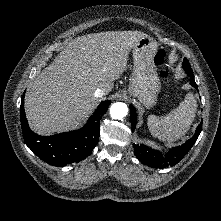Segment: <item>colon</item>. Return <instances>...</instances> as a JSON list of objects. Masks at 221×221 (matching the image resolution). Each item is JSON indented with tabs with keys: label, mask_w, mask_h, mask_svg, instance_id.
<instances>
[{
	"label": "colon",
	"mask_w": 221,
	"mask_h": 221,
	"mask_svg": "<svg viewBox=\"0 0 221 221\" xmlns=\"http://www.w3.org/2000/svg\"><path fill=\"white\" fill-rule=\"evenodd\" d=\"M166 59V52L163 50H159L155 56V63L157 66H162L165 62ZM161 77L163 78H167L169 76L168 72L166 71H162L161 73Z\"/></svg>",
	"instance_id": "5ec220e1"
}]
</instances>
